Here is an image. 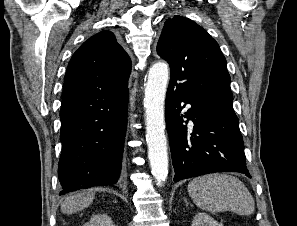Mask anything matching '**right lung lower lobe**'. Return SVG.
<instances>
[{
    "label": "right lung lower lobe",
    "instance_id": "98d812e1",
    "mask_svg": "<svg viewBox=\"0 0 297 226\" xmlns=\"http://www.w3.org/2000/svg\"><path fill=\"white\" fill-rule=\"evenodd\" d=\"M127 105V87L62 100L60 195L95 186L118 188L123 176Z\"/></svg>",
    "mask_w": 297,
    "mask_h": 226
}]
</instances>
